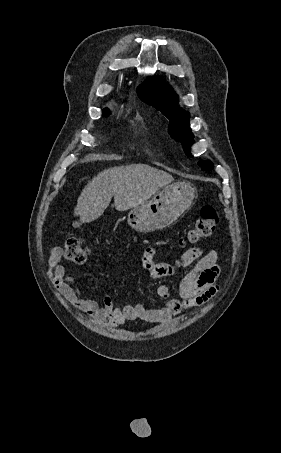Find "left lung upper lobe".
Returning a JSON list of instances; mask_svg holds the SVG:
<instances>
[{
  "mask_svg": "<svg viewBox=\"0 0 281 453\" xmlns=\"http://www.w3.org/2000/svg\"><path fill=\"white\" fill-rule=\"evenodd\" d=\"M137 94L142 101L160 110L170 120L169 132L171 136L180 141L184 146L185 153L190 155L189 146L194 142V136L188 122L189 113L175 106L178 104V98L174 95L172 89L169 86L157 85L147 79L137 87ZM198 165L202 170H212L214 167L213 163L204 160H200Z\"/></svg>",
  "mask_w": 281,
  "mask_h": 453,
  "instance_id": "left-lung-upper-lobe-1",
  "label": "left lung upper lobe"
}]
</instances>
